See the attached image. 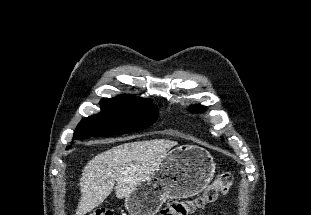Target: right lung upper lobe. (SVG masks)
Listing matches in <instances>:
<instances>
[{
	"label": "right lung upper lobe",
	"mask_w": 311,
	"mask_h": 215,
	"mask_svg": "<svg viewBox=\"0 0 311 215\" xmlns=\"http://www.w3.org/2000/svg\"><path fill=\"white\" fill-rule=\"evenodd\" d=\"M112 99H118V100H124V101H131V102H139V103H146V102H152L150 99H144L136 96H128V95H123V96H118Z\"/></svg>",
	"instance_id": "right-lung-upper-lobe-1"
}]
</instances>
